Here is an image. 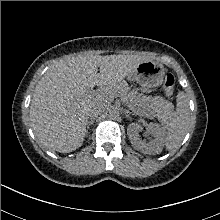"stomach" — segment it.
I'll use <instances>...</instances> for the list:
<instances>
[{
    "instance_id": "obj_1",
    "label": "stomach",
    "mask_w": 220,
    "mask_h": 220,
    "mask_svg": "<svg viewBox=\"0 0 220 220\" xmlns=\"http://www.w3.org/2000/svg\"><path fill=\"white\" fill-rule=\"evenodd\" d=\"M165 67L156 61L141 62L136 69L128 75L129 81H136L143 87H155L162 84L165 76Z\"/></svg>"
}]
</instances>
